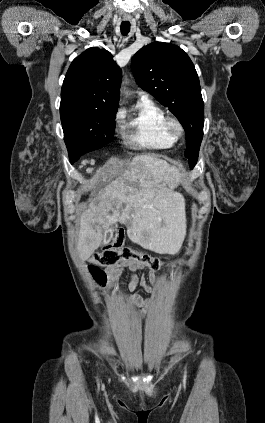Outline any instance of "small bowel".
I'll list each match as a JSON object with an SVG mask.
<instances>
[{"label":"small bowel","instance_id":"small-bowel-1","mask_svg":"<svg viewBox=\"0 0 265 423\" xmlns=\"http://www.w3.org/2000/svg\"><path fill=\"white\" fill-rule=\"evenodd\" d=\"M144 268V266L131 261H120L114 265L106 267L105 269L111 289L114 293H117L119 295L120 292L118 289V278L123 269L130 270L131 277L128 284L129 298L133 303L143 306L145 308L142 314H145L146 309L154 307L156 302L154 299H144L139 294L135 293L137 285L140 284L148 293H154L157 290V277L155 272L150 271L148 274L150 284L147 283L144 276L139 278L136 275L137 271L142 270Z\"/></svg>","mask_w":265,"mask_h":423}]
</instances>
